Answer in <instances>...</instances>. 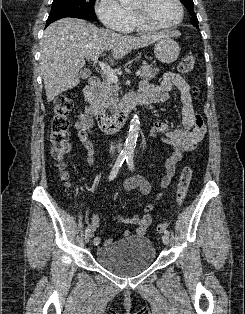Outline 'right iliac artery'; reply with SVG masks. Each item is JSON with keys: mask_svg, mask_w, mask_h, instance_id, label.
Masks as SVG:
<instances>
[{"mask_svg": "<svg viewBox=\"0 0 245 314\" xmlns=\"http://www.w3.org/2000/svg\"><path fill=\"white\" fill-rule=\"evenodd\" d=\"M126 157H127L126 153H120V155L118 156V158H117V160H116V162L112 168V171L110 172L109 180H113L117 176L119 169L122 166L123 162L125 161ZM89 232H90V228L87 227L85 230V234H87Z\"/></svg>", "mask_w": 245, "mask_h": 314, "instance_id": "82829eb1", "label": "right iliac artery"}]
</instances>
